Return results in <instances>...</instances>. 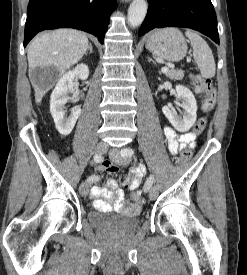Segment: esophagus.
Segmentation results:
<instances>
[{
	"mask_svg": "<svg viewBox=\"0 0 247 275\" xmlns=\"http://www.w3.org/2000/svg\"><path fill=\"white\" fill-rule=\"evenodd\" d=\"M121 1H124V2H129L130 0H121Z\"/></svg>",
	"mask_w": 247,
	"mask_h": 275,
	"instance_id": "esophagus-1",
	"label": "esophagus"
}]
</instances>
